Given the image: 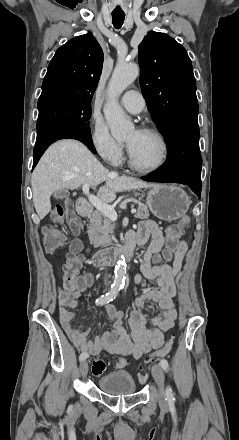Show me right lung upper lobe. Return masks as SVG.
Listing matches in <instances>:
<instances>
[{"mask_svg": "<svg viewBox=\"0 0 239 440\" xmlns=\"http://www.w3.org/2000/svg\"><path fill=\"white\" fill-rule=\"evenodd\" d=\"M102 65V48L91 33L69 40L57 49L48 66L38 103L52 98L91 102Z\"/></svg>", "mask_w": 239, "mask_h": 440, "instance_id": "1", "label": "right lung upper lobe"}]
</instances>
